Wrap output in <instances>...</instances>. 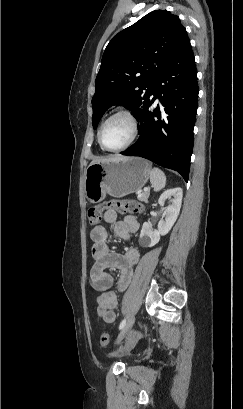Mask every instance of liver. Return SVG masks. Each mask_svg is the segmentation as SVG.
<instances>
[{
  "label": "liver",
  "mask_w": 243,
  "mask_h": 409,
  "mask_svg": "<svg viewBox=\"0 0 243 409\" xmlns=\"http://www.w3.org/2000/svg\"><path fill=\"white\" fill-rule=\"evenodd\" d=\"M106 160H108V159H98V160H96L94 162H100V161H106Z\"/></svg>",
  "instance_id": "obj_1"
}]
</instances>
